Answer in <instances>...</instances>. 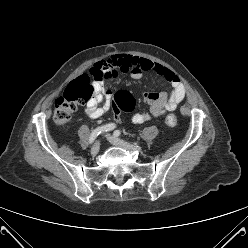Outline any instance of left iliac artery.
<instances>
[{"mask_svg":"<svg viewBox=\"0 0 248 248\" xmlns=\"http://www.w3.org/2000/svg\"><path fill=\"white\" fill-rule=\"evenodd\" d=\"M113 134H114L115 137H119L121 132L119 130H116V131H114ZM133 144H137V143H133Z\"/></svg>","mask_w":248,"mask_h":248,"instance_id":"44dca946","label":"left iliac artery"}]
</instances>
